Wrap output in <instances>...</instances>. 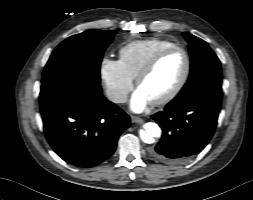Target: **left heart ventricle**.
<instances>
[{
    "label": "left heart ventricle",
    "mask_w": 253,
    "mask_h": 200,
    "mask_svg": "<svg viewBox=\"0 0 253 200\" xmlns=\"http://www.w3.org/2000/svg\"><path fill=\"white\" fill-rule=\"evenodd\" d=\"M186 67L185 57L181 52L167 55L157 67L145 77L138 88L155 102L168 95L181 80Z\"/></svg>",
    "instance_id": "b2bd125f"
}]
</instances>
